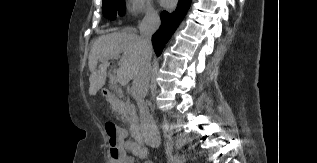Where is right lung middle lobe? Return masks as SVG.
<instances>
[{"mask_svg": "<svg viewBox=\"0 0 317 163\" xmlns=\"http://www.w3.org/2000/svg\"><path fill=\"white\" fill-rule=\"evenodd\" d=\"M125 12L124 0H103V13L106 18L115 19Z\"/></svg>", "mask_w": 317, "mask_h": 163, "instance_id": "dd1d6c3e", "label": "right lung middle lobe"}]
</instances>
